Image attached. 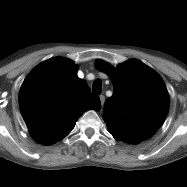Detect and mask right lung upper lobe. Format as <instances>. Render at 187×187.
I'll return each mask as SVG.
<instances>
[{
  "label": "right lung upper lobe",
  "instance_id": "cb5924a9",
  "mask_svg": "<svg viewBox=\"0 0 187 187\" xmlns=\"http://www.w3.org/2000/svg\"><path fill=\"white\" fill-rule=\"evenodd\" d=\"M77 65L53 58L36 66L24 80L19 107L32 138L53 144L64 138L87 110H100V99L77 76Z\"/></svg>",
  "mask_w": 187,
  "mask_h": 187
}]
</instances>
